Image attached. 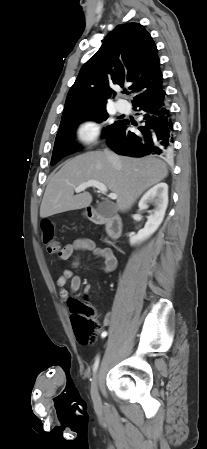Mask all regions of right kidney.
<instances>
[{"label": "right kidney", "mask_w": 207, "mask_h": 449, "mask_svg": "<svg viewBox=\"0 0 207 449\" xmlns=\"http://www.w3.org/2000/svg\"><path fill=\"white\" fill-rule=\"evenodd\" d=\"M149 203H154L155 209L150 212L145 227L137 234H132L130 236L131 245L149 238L162 223L168 206V185L166 183H158L148 190L139 201V210L147 209ZM134 219L139 221L141 216L137 214Z\"/></svg>", "instance_id": "obj_1"}]
</instances>
